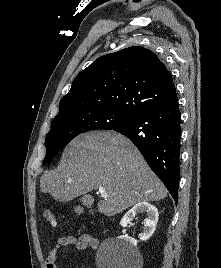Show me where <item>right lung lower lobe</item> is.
Masks as SVG:
<instances>
[{
	"mask_svg": "<svg viewBox=\"0 0 221 268\" xmlns=\"http://www.w3.org/2000/svg\"><path fill=\"white\" fill-rule=\"evenodd\" d=\"M181 113L178 99L146 110L113 130L125 135L139 149L153 172L177 203L180 179Z\"/></svg>",
	"mask_w": 221,
	"mask_h": 268,
	"instance_id": "obj_1",
	"label": "right lung lower lobe"
}]
</instances>
